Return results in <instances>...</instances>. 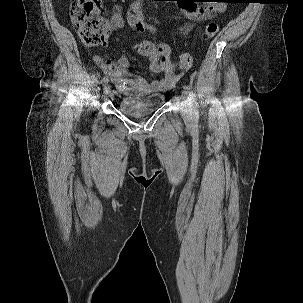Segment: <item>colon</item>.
Returning <instances> with one entry per match:
<instances>
[{
	"label": "colon",
	"instance_id": "colon-1",
	"mask_svg": "<svg viewBox=\"0 0 303 303\" xmlns=\"http://www.w3.org/2000/svg\"><path fill=\"white\" fill-rule=\"evenodd\" d=\"M70 12L71 20L78 29V35L84 45L98 47L105 42L111 28L102 18L100 0H71ZM218 29L216 22L208 23L205 27V37H215ZM160 61L163 65L169 66V54H163ZM191 64L192 56L183 53L178 60L179 70L184 72Z\"/></svg>",
	"mask_w": 303,
	"mask_h": 303
}]
</instances>
